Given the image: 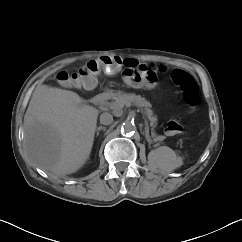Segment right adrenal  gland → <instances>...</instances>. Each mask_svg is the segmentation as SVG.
Returning a JSON list of instances; mask_svg holds the SVG:
<instances>
[{"label":"right adrenal gland","mask_w":242,"mask_h":242,"mask_svg":"<svg viewBox=\"0 0 242 242\" xmlns=\"http://www.w3.org/2000/svg\"><path fill=\"white\" fill-rule=\"evenodd\" d=\"M101 130L106 131V127H104V126L97 127V129H96V135L97 136L99 135V133H100Z\"/></svg>","instance_id":"2a0ac1e0"}]
</instances>
